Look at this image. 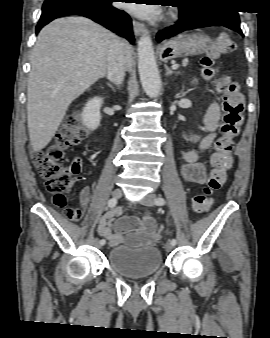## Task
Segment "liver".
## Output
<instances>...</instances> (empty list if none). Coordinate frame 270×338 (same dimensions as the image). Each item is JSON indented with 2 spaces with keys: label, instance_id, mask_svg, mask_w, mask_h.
Wrapping results in <instances>:
<instances>
[{
  "label": "liver",
  "instance_id": "1",
  "mask_svg": "<svg viewBox=\"0 0 270 338\" xmlns=\"http://www.w3.org/2000/svg\"><path fill=\"white\" fill-rule=\"evenodd\" d=\"M114 34L84 17L56 19L39 33L31 56L27 121L35 152L45 148L69 105L106 74ZM127 67L132 47L125 42Z\"/></svg>",
  "mask_w": 270,
  "mask_h": 338
}]
</instances>
